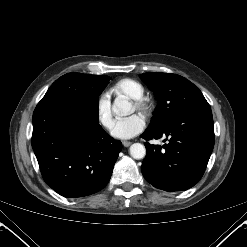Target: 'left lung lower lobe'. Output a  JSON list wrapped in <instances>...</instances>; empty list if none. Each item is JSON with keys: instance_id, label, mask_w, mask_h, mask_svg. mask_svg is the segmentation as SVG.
I'll use <instances>...</instances> for the list:
<instances>
[{"instance_id": "left-lung-lower-lobe-1", "label": "left lung lower lobe", "mask_w": 247, "mask_h": 247, "mask_svg": "<svg viewBox=\"0 0 247 247\" xmlns=\"http://www.w3.org/2000/svg\"><path fill=\"white\" fill-rule=\"evenodd\" d=\"M167 137L162 146L145 142L147 154L141 170L154 187L183 191L201 179L214 147L211 109L195 110L174 119L160 129H146V140Z\"/></svg>"}]
</instances>
